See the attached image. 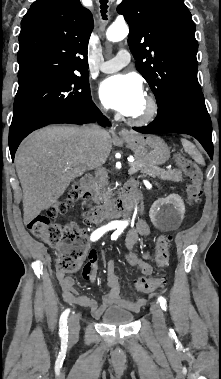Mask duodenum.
Segmentation results:
<instances>
[{
	"label": "duodenum",
	"mask_w": 221,
	"mask_h": 379,
	"mask_svg": "<svg viewBox=\"0 0 221 379\" xmlns=\"http://www.w3.org/2000/svg\"><path fill=\"white\" fill-rule=\"evenodd\" d=\"M81 187L91 192L92 177L87 175L81 179ZM139 203V194L134 184L125 187V193L115 201L107 204L94 205L91 209L90 220L94 223H102L107 220L127 216L132 213Z\"/></svg>",
	"instance_id": "obj_1"
}]
</instances>
